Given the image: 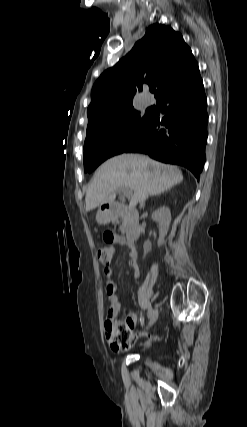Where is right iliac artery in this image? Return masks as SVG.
<instances>
[{
  "instance_id": "1",
  "label": "right iliac artery",
  "mask_w": 247,
  "mask_h": 427,
  "mask_svg": "<svg viewBox=\"0 0 247 427\" xmlns=\"http://www.w3.org/2000/svg\"><path fill=\"white\" fill-rule=\"evenodd\" d=\"M151 313H152V309L150 308L147 312L148 317H150Z\"/></svg>"
}]
</instances>
